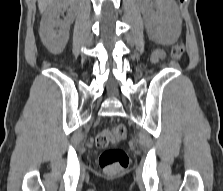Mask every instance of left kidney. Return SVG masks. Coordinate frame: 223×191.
Segmentation results:
<instances>
[{"mask_svg":"<svg viewBox=\"0 0 223 191\" xmlns=\"http://www.w3.org/2000/svg\"><path fill=\"white\" fill-rule=\"evenodd\" d=\"M151 37L162 44L174 43L181 32V19L173 0H139Z\"/></svg>","mask_w":223,"mask_h":191,"instance_id":"obj_1","label":"left kidney"}]
</instances>
